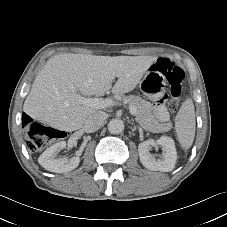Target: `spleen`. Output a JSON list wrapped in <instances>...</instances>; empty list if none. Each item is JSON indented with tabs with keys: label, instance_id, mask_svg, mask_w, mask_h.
Masks as SVG:
<instances>
[{
	"label": "spleen",
	"instance_id": "spleen-1",
	"mask_svg": "<svg viewBox=\"0 0 227 227\" xmlns=\"http://www.w3.org/2000/svg\"><path fill=\"white\" fill-rule=\"evenodd\" d=\"M195 107L191 98L181 105L175 121L177 139L183 149H189L195 137Z\"/></svg>",
	"mask_w": 227,
	"mask_h": 227
}]
</instances>
